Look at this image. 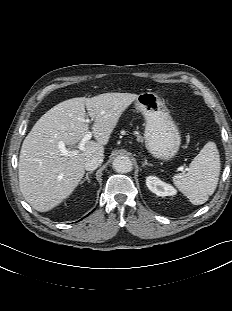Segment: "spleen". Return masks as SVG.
Returning a JSON list of instances; mask_svg holds the SVG:
<instances>
[{
  "instance_id": "3e777b00",
  "label": "spleen",
  "mask_w": 232,
  "mask_h": 311,
  "mask_svg": "<svg viewBox=\"0 0 232 311\" xmlns=\"http://www.w3.org/2000/svg\"><path fill=\"white\" fill-rule=\"evenodd\" d=\"M220 156L216 144L208 142L190 163L187 173L173 177L174 185L194 205L204 204L217 187Z\"/></svg>"
}]
</instances>
